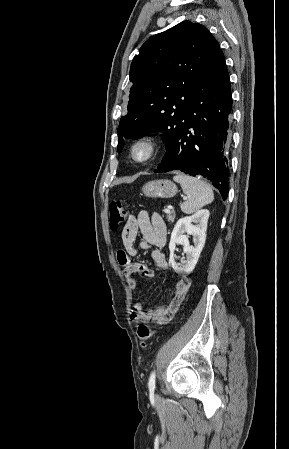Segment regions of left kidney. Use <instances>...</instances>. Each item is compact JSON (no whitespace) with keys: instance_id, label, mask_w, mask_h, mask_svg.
<instances>
[{"instance_id":"left-kidney-1","label":"left kidney","mask_w":289,"mask_h":449,"mask_svg":"<svg viewBox=\"0 0 289 449\" xmlns=\"http://www.w3.org/2000/svg\"><path fill=\"white\" fill-rule=\"evenodd\" d=\"M209 215V210L203 209L191 216L179 219L176 223L169 243V264L175 272L189 274L194 270L205 244ZM188 235L193 236L194 246L190 245ZM177 244L183 245L187 256V260L182 265L175 261L174 250Z\"/></svg>"}]
</instances>
